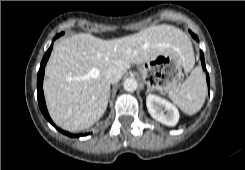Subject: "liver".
Instances as JSON below:
<instances>
[{"label":"liver","instance_id":"obj_1","mask_svg":"<svg viewBox=\"0 0 245 170\" xmlns=\"http://www.w3.org/2000/svg\"><path fill=\"white\" fill-rule=\"evenodd\" d=\"M191 52L188 37L170 25L151 26L111 40L85 33L63 39L46 65L43 89L50 116L68 131L89 128L107 108L110 83L104 74L108 68L116 67L123 75L131 64L173 53L189 71L194 64Z\"/></svg>","mask_w":245,"mask_h":170}]
</instances>
